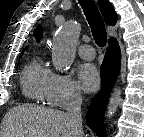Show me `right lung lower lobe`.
<instances>
[{"instance_id": "1", "label": "right lung lower lobe", "mask_w": 144, "mask_h": 137, "mask_svg": "<svg viewBox=\"0 0 144 137\" xmlns=\"http://www.w3.org/2000/svg\"><path fill=\"white\" fill-rule=\"evenodd\" d=\"M109 44L101 66L102 88L91 101L86 115L87 125L99 137L105 136L104 113L110 92L117 80L121 64V52L117 41L113 39L109 41Z\"/></svg>"}]
</instances>
